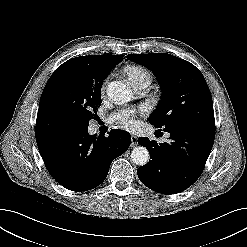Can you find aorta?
I'll list each match as a JSON object with an SVG mask.
<instances>
[{"label":"aorta","mask_w":247,"mask_h":247,"mask_svg":"<svg viewBox=\"0 0 247 247\" xmlns=\"http://www.w3.org/2000/svg\"><path fill=\"white\" fill-rule=\"evenodd\" d=\"M108 97L119 104L128 102L132 97L131 89L120 81H112L107 86ZM131 160L138 166H144L148 163L150 155L148 150L143 146L135 147L131 152Z\"/></svg>","instance_id":"obj_1"}]
</instances>
